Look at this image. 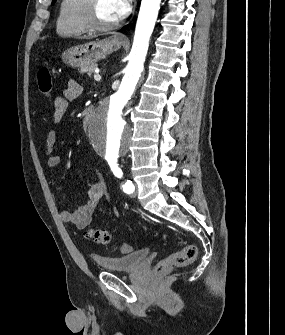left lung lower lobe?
Here are the masks:
<instances>
[{
    "instance_id": "1",
    "label": "left lung lower lobe",
    "mask_w": 285,
    "mask_h": 335,
    "mask_svg": "<svg viewBox=\"0 0 285 335\" xmlns=\"http://www.w3.org/2000/svg\"><path fill=\"white\" fill-rule=\"evenodd\" d=\"M127 28V26H125L122 30H125Z\"/></svg>"
}]
</instances>
